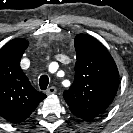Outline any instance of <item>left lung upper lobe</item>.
<instances>
[{
    "label": "left lung upper lobe",
    "mask_w": 133,
    "mask_h": 133,
    "mask_svg": "<svg viewBox=\"0 0 133 133\" xmlns=\"http://www.w3.org/2000/svg\"><path fill=\"white\" fill-rule=\"evenodd\" d=\"M74 46L77 59L74 83L63 96L75 116L89 120L103 113L112 103L119 74L107 49L94 37L78 34Z\"/></svg>",
    "instance_id": "1"
}]
</instances>
